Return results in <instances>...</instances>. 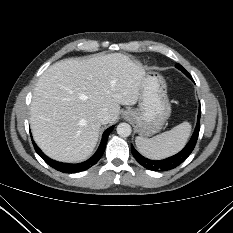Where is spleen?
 I'll list each match as a JSON object with an SVG mask.
<instances>
[{
  "mask_svg": "<svg viewBox=\"0 0 233 233\" xmlns=\"http://www.w3.org/2000/svg\"><path fill=\"white\" fill-rule=\"evenodd\" d=\"M191 133V124L183 122L153 138L136 137L138 151L149 159L159 160L179 152Z\"/></svg>",
  "mask_w": 233,
  "mask_h": 233,
  "instance_id": "1",
  "label": "spleen"
}]
</instances>
